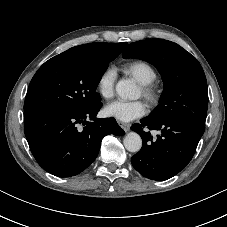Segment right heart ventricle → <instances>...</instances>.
Masks as SVG:
<instances>
[{
  "mask_svg": "<svg viewBox=\"0 0 227 227\" xmlns=\"http://www.w3.org/2000/svg\"><path fill=\"white\" fill-rule=\"evenodd\" d=\"M122 71L132 77L140 85L153 83L157 78L155 68L144 60H132L124 63Z\"/></svg>",
  "mask_w": 227,
  "mask_h": 227,
  "instance_id": "right-heart-ventricle-1",
  "label": "right heart ventricle"
}]
</instances>
